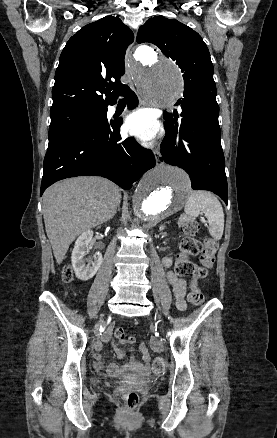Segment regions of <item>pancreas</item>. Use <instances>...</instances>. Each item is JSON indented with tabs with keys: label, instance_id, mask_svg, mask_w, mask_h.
Wrapping results in <instances>:
<instances>
[{
	"label": "pancreas",
	"instance_id": "pancreas-1",
	"mask_svg": "<svg viewBox=\"0 0 277 438\" xmlns=\"http://www.w3.org/2000/svg\"><path fill=\"white\" fill-rule=\"evenodd\" d=\"M181 221H182V223H191V221H192L191 214H182Z\"/></svg>",
	"mask_w": 277,
	"mask_h": 438
}]
</instances>
